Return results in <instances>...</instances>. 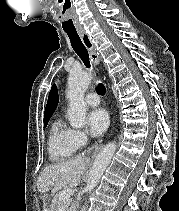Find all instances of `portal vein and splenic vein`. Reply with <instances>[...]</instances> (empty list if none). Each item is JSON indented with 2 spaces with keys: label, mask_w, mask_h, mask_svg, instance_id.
Returning <instances> with one entry per match:
<instances>
[{
  "label": "portal vein and splenic vein",
  "mask_w": 179,
  "mask_h": 211,
  "mask_svg": "<svg viewBox=\"0 0 179 211\" xmlns=\"http://www.w3.org/2000/svg\"><path fill=\"white\" fill-rule=\"evenodd\" d=\"M71 195H72L71 188L64 189L60 192V200H67L71 197Z\"/></svg>",
  "instance_id": "portal-vein-and-splenic-vein-1"
}]
</instances>
